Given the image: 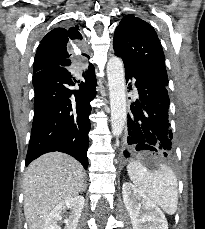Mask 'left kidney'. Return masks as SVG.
<instances>
[{"label": "left kidney", "instance_id": "1", "mask_svg": "<svg viewBox=\"0 0 205 229\" xmlns=\"http://www.w3.org/2000/svg\"><path fill=\"white\" fill-rule=\"evenodd\" d=\"M123 201L133 229H168L162 210L130 182L122 186Z\"/></svg>", "mask_w": 205, "mask_h": 229}]
</instances>
